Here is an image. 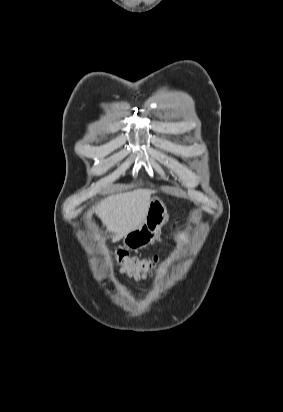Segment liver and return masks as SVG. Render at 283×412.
<instances>
[{
  "mask_svg": "<svg viewBox=\"0 0 283 412\" xmlns=\"http://www.w3.org/2000/svg\"><path fill=\"white\" fill-rule=\"evenodd\" d=\"M152 193H154L153 190L136 189L107 197L93 207L96 215L106 226L107 232L113 234V242L119 241L142 225ZM90 214L91 210L87 212L88 218Z\"/></svg>",
  "mask_w": 283,
  "mask_h": 412,
  "instance_id": "6515ba94",
  "label": "liver"
}]
</instances>
